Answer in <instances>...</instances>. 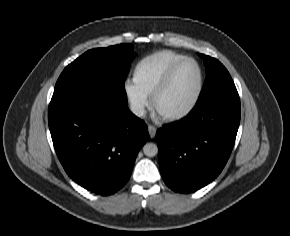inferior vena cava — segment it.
<instances>
[{
    "label": "inferior vena cava",
    "instance_id": "1",
    "mask_svg": "<svg viewBox=\"0 0 290 236\" xmlns=\"http://www.w3.org/2000/svg\"><path fill=\"white\" fill-rule=\"evenodd\" d=\"M130 109L132 113L138 117H142L145 115V109L141 105H137V104L131 105Z\"/></svg>",
    "mask_w": 290,
    "mask_h": 236
}]
</instances>
